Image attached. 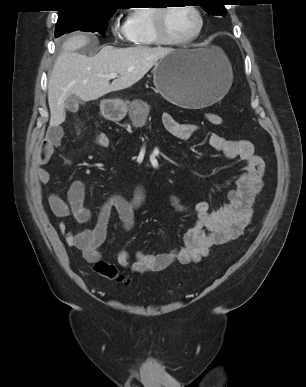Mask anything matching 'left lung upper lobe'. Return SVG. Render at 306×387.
Segmentation results:
<instances>
[{
	"label": "left lung upper lobe",
	"instance_id": "5c2ea615",
	"mask_svg": "<svg viewBox=\"0 0 306 387\" xmlns=\"http://www.w3.org/2000/svg\"><path fill=\"white\" fill-rule=\"evenodd\" d=\"M196 2L210 15H226L225 0H196Z\"/></svg>",
	"mask_w": 306,
	"mask_h": 387
}]
</instances>
